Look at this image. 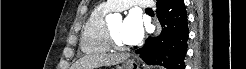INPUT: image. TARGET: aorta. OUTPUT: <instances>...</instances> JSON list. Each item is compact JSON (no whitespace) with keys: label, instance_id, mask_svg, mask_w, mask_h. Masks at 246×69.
<instances>
[{"label":"aorta","instance_id":"obj_1","mask_svg":"<svg viewBox=\"0 0 246 69\" xmlns=\"http://www.w3.org/2000/svg\"><path fill=\"white\" fill-rule=\"evenodd\" d=\"M117 18H120L119 14H113V15L111 14L107 16V19H117Z\"/></svg>","mask_w":246,"mask_h":69}]
</instances>
